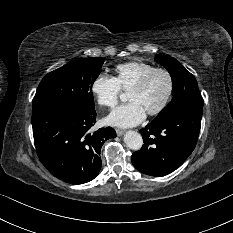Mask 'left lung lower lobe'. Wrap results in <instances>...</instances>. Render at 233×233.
<instances>
[{"label": "left lung lower lobe", "instance_id": "left-lung-lower-lobe-1", "mask_svg": "<svg viewBox=\"0 0 233 233\" xmlns=\"http://www.w3.org/2000/svg\"><path fill=\"white\" fill-rule=\"evenodd\" d=\"M202 109L203 101H195L173 116L152 121L141 129L144 145L132 154L134 167L152 176H164L176 170L196 146Z\"/></svg>", "mask_w": 233, "mask_h": 233}]
</instances>
